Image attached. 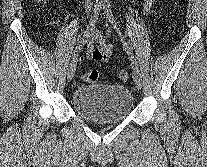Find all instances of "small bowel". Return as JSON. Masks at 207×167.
Listing matches in <instances>:
<instances>
[{"instance_id":"obj_1","label":"small bowel","mask_w":207,"mask_h":167,"mask_svg":"<svg viewBox=\"0 0 207 167\" xmlns=\"http://www.w3.org/2000/svg\"><path fill=\"white\" fill-rule=\"evenodd\" d=\"M157 0H143V11L148 14ZM113 53V46L105 42L100 33L92 31L87 41L86 58L89 60L107 63ZM79 56L77 60H82Z\"/></svg>"}]
</instances>
